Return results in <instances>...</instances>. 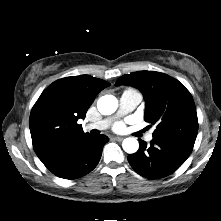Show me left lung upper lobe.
<instances>
[{
    "instance_id": "5c2ea615",
    "label": "left lung upper lobe",
    "mask_w": 221,
    "mask_h": 221,
    "mask_svg": "<svg viewBox=\"0 0 221 221\" xmlns=\"http://www.w3.org/2000/svg\"><path fill=\"white\" fill-rule=\"evenodd\" d=\"M116 85L133 86L143 93L144 119L157 125L153 137L195 143L198 132L196 107L192 95L178 80L160 72L138 71L121 76Z\"/></svg>"
}]
</instances>
